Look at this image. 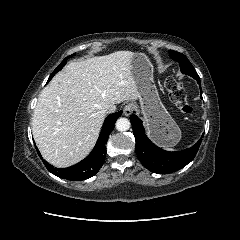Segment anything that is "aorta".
Segmentation results:
<instances>
[{
	"instance_id": "aorta-1",
	"label": "aorta",
	"mask_w": 240,
	"mask_h": 240,
	"mask_svg": "<svg viewBox=\"0 0 240 240\" xmlns=\"http://www.w3.org/2000/svg\"><path fill=\"white\" fill-rule=\"evenodd\" d=\"M130 121L127 118H119L116 121L115 127L118 131H127L130 128Z\"/></svg>"
}]
</instances>
